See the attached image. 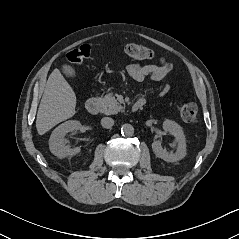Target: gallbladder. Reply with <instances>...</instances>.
<instances>
[{"label":"gallbladder","instance_id":"obj_1","mask_svg":"<svg viewBox=\"0 0 239 239\" xmlns=\"http://www.w3.org/2000/svg\"><path fill=\"white\" fill-rule=\"evenodd\" d=\"M62 71L67 77H74L75 76V70L72 66L70 65H63L62 66Z\"/></svg>","mask_w":239,"mask_h":239}]
</instances>
